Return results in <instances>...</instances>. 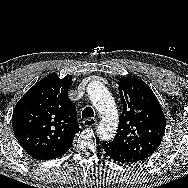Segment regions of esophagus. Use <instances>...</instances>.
Listing matches in <instances>:
<instances>
[{
  "mask_svg": "<svg viewBox=\"0 0 188 188\" xmlns=\"http://www.w3.org/2000/svg\"><path fill=\"white\" fill-rule=\"evenodd\" d=\"M98 121L94 118H87L83 121L84 126L86 127H94L96 126Z\"/></svg>",
  "mask_w": 188,
  "mask_h": 188,
  "instance_id": "obj_1",
  "label": "esophagus"
}]
</instances>
